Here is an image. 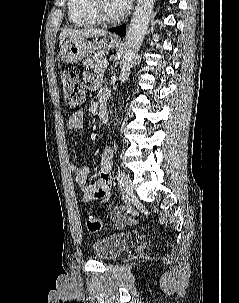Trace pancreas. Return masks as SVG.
Masks as SVG:
<instances>
[{"label": "pancreas", "instance_id": "pancreas-1", "mask_svg": "<svg viewBox=\"0 0 239 303\" xmlns=\"http://www.w3.org/2000/svg\"><path fill=\"white\" fill-rule=\"evenodd\" d=\"M107 60L103 52H98L92 59L86 60L84 65L91 70L98 73H104L106 67L103 66V62Z\"/></svg>", "mask_w": 239, "mask_h": 303}]
</instances>
